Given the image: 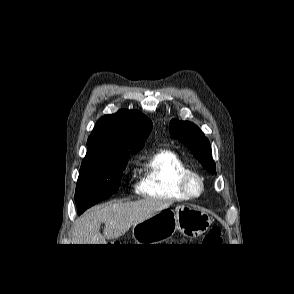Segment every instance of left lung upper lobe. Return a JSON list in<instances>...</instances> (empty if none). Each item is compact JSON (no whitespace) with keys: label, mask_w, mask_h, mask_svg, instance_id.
I'll list each match as a JSON object with an SVG mask.
<instances>
[{"label":"left lung upper lobe","mask_w":294,"mask_h":294,"mask_svg":"<svg viewBox=\"0 0 294 294\" xmlns=\"http://www.w3.org/2000/svg\"><path fill=\"white\" fill-rule=\"evenodd\" d=\"M170 134L171 137L189 147L192 154L208 172L215 174L211 145L204 133L195 124L173 119L170 122Z\"/></svg>","instance_id":"left-lung-upper-lobe-1"}]
</instances>
